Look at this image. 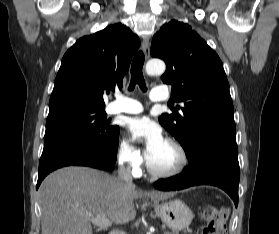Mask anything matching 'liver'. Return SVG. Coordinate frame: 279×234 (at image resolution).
<instances>
[{
	"instance_id": "liver-1",
	"label": "liver",
	"mask_w": 279,
	"mask_h": 234,
	"mask_svg": "<svg viewBox=\"0 0 279 234\" xmlns=\"http://www.w3.org/2000/svg\"><path fill=\"white\" fill-rule=\"evenodd\" d=\"M39 196L41 234H92L86 215H104L112 223H126L136 216V199L164 200L171 194L142 192L96 169L66 167L44 179Z\"/></svg>"
}]
</instances>
